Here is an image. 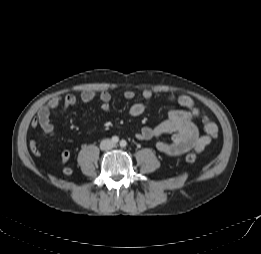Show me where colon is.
<instances>
[{
    "label": "colon",
    "mask_w": 261,
    "mask_h": 254,
    "mask_svg": "<svg viewBox=\"0 0 261 254\" xmlns=\"http://www.w3.org/2000/svg\"><path fill=\"white\" fill-rule=\"evenodd\" d=\"M185 159L188 163H196L198 161V157L194 152H188L185 156Z\"/></svg>",
    "instance_id": "5ec220e1"
}]
</instances>
